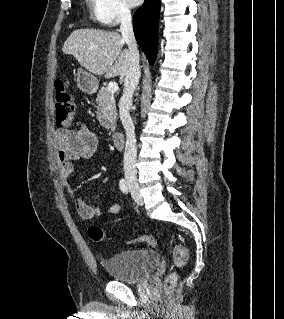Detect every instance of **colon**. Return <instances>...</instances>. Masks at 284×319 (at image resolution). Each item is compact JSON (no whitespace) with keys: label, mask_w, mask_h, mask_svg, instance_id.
Instances as JSON below:
<instances>
[{"label":"colon","mask_w":284,"mask_h":319,"mask_svg":"<svg viewBox=\"0 0 284 319\" xmlns=\"http://www.w3.org/2000/svg\"><path fill=\"white\" fill-rule=\"evenodd\" d=\"M55 117L56 124L62 127L71 126L74 120L75 102L73 95L68 90L66 84L62 80H57L55 83ZM88 235L95 242H102L107 238L106 233L99 227L92 226L88 230ZM135 241L155 247L158 244V239L153 235H143ZM173 258L176 267H182L188 260V252L186 248L177 244L173 248ZM176 273H170L164 283L166 293H171L176 285Z\"/></svg>","instance_id":"colon-1"}]
</instances>
